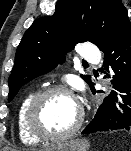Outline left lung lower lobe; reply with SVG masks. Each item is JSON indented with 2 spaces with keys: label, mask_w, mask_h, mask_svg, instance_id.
<instances>
[{
  "label": "left lung lower lobe",
  "mask_w": 131,
  "mask_h": 151,
  "mask_svg": "<svg viewBox=\"0 0 131 151\" xmlns=\"http://www.w3.org/2000/svg\"><path fill=\"white\" fill-rule=\"evenodd\" d=\"M105 53V65H111L113 90L99 106L94 118L82 131V134L97 131H131V34L114 44ZM93 94L94 83L89 84Z\"/></svg>",
  "instance_id": "obj_1"
}]
</instances>
